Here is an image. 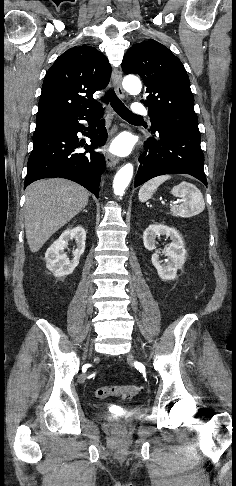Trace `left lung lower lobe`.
Returning <instances> with one entry per match:
<instances>
[{
  "instance_id": "0a47b994",
  "label": "left lung lower lobe",
  "mask_w": 236,
  "mask_h": 486,
  "mask_svg": "<svg viewBox=\"0 0 236 486\" xmlns=\"http://www.w3.org/2000/svg\"><path fill=\"white\" fill-rule=\"evenodd\" d=\"M157 134L144 143L134 186L159 175L184 173L207 186L200 133L173 127L158 128Z\"/></svg>"
}]
</instances>
